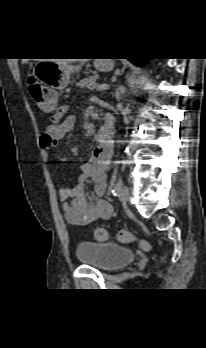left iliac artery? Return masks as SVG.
<instances>
[{"label": "left iliac artery", "instance_id": "left-iliac-artery-1", "mask_svg": "<svg viewBox=\"0 0 206 348\" xmlns=\"http://www.w3.org/2000/svg\"><path fill=\"white\" fill-rule=\"evenodd\" d=\"M123 187V180L122 177L120 176L118 178V181L115 183L113 189H112V194L114 196H117L119 194V192L121 191V188Z\"/></svg>", "mask_w": 206, "mask_h": 348}]
</instances>
